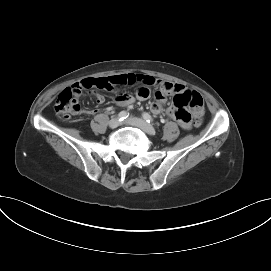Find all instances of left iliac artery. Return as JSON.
Wrapping results in <instances>:
<instances>
[{"label":"left iliac artery","instance_id":"44dca946","mask_svg":"<svg viewBox=\"0 0 271 271\" xmlns=\"http://www.w3.org/2000/svg\"><path fill=\"white\" fill-rule=\"evenodd\" d=\"M142 116H143V118H144L148 123H152V122L154 121L153 118L151 117V115L148 114V113H146V112H144V113L142 114Z\"/></svg>","mask_w":271,"mask_h":271}]
</instances>
